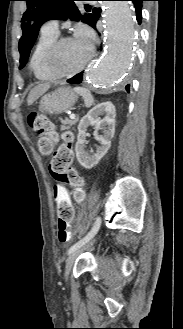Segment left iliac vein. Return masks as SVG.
Segmentation results:
<instances>
[{"mask_svg": "<svg viewBox=\"0 0 183 329\" xmlns=\"http://www.w3.org/2000/svg\"><path fill=\"white\" fill-rule=\"evenodd\" d=\"M95 239H91L90 241H88L87 243H85L84 245H82L81 247L77 248L76 250H74L68 257L67 262H66V267H65V279L68 280L70 271L73 267V264L76 260V258L87 248H89L93 243H94Z\"/></svg>", "mask_w": 183, "mask_h": 329, "instance_id": "left-iliac-vein-1", "label": "left iliac vein"}]
</instances>
